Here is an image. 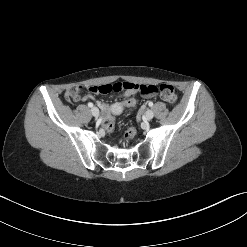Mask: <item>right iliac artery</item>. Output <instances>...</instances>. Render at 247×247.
I'll return each instance as SVG.
<instances>
[{
    "label": "right iliac artery",
    "instance_id": "82829eb1",
    "mask_svg": "<svg viewBox=\"0 0 247 247\" xmlns=\"http://www.w3.org/2000/svg\"><path fill=\"white\" fill-rule=\"evenodd\" d=\"M88 107H93V103L89 102Z\"/></svg>",
    "mask_w": 247,
    "mask_h": 247
}]
</instances>
